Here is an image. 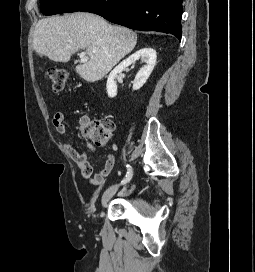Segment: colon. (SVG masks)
<instances>
[{
  "mask_svg": "<svg viewBox=\"0 0 255 272\" xmlns=\"http://www.w3.org/2000/svg\"><path fill=\"white\" fill-rule=\"evenodd\" d=\"M46 78L50 81L53 92L60 93L69 80L70 74L66 69L51 68L46 71ZM114 130V122L104 119L86 123L82 133L97 146L105 147L109 144Z\"/></svg>",
  "mask_w": 255,
  "mask_h": 272,
  "instance_id": "5ec220e1",
  "label": "colon"
}]
</instances>
